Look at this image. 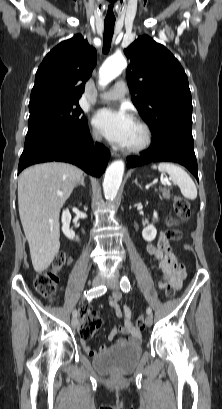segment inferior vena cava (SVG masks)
<instances>
[{"label":"inferior vena cava","instance_id":"602c4592","mask_svg":"<svg viewBox=\"0 0 222 409\" xmlns=\"http://www.w3.org/2000/svg\"><path fill=\"white\" fill-rule=\"evenodd\" d=\"M95 137H96V139H99V136H98V135H96Z\"/></svg>","mask_w":222,"mask_h":409}]
</instances>
